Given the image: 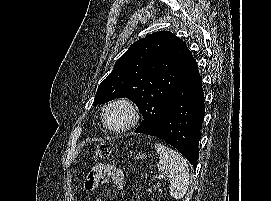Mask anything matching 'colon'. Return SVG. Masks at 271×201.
Returning a JSON list of instances; mask_svg holds the SVG:
<instances>
[{"instance_id":"colon-1","label":"colon","mask_w":271,"mask_h":201,"mask_svg":"<svg viewBox=\"0 0 271 201\" xmlns=\"http://www.w3.org/2000/svg\"><path fill=\"white\" fill-rule=\"evenodd\" d=\"M113 146L108 143H101L96 146L94 150V157L95 158H108L111 153L113 152Z\"/></svg>"}]
</instances>
